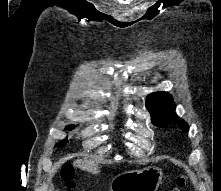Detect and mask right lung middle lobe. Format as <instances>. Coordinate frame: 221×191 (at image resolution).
I'll return each mask as SVG.
<instances>
[{
	"instance_id": "1",
	"label": "right lung middle lobe",
	"mask_w": 221,
	"mask_h": 191,
	"mask_svg": "<svg viewBox=\"0 0 221 191\" xmlns=\"http://www.w3.org/2000/svg\"><path fill=\"white\" fill-rule=\"evenodd\" d=\"M67 130H72L74 129V126L73 125H70L66 128ZM68 142V140H62L59 144H58V147H63L66 145V143Z\"/></svg>"
}]
</instances>
